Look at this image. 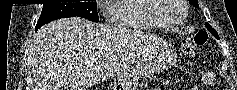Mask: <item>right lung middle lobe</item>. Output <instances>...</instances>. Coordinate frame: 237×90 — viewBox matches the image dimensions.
Wrapping results in <instances>:
<instances>
[{
	"label": "right lung middle lobe",
	"instance_id": "right-lung-middle-lobe-1",
	"mask_svg": "<svg viewBox=\"0 0 237 90\" xmlns=\"http://www.w3.org/2000/svg\"><path fill=\"white\" fill-rule=\"evenodd\" d=\"M95 2H78V3H55L44 4L40 18L36 24V31L53 20L67 17H82L93 22H99Z\"/></svg>",
	"mask_w": 237,
	"mask_h": 90
}]
</instances>
